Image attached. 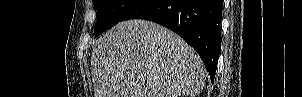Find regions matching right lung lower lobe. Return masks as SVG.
Instances as JSON below:
<instances>
[{
  "mask_svg": "<svg viewBox=\"0 0 302 97\" xmlns=\"http://www.w3.org/2000/svg\"><path fill=\"white\" fill-rule=\"evenodd\" d=\"M145 19L180 35L203 60L213 82L221 48L222 0H141L122 21Z\"/></svg>",
  "mask_w": 302,
  "mask_h": 97,
  "instance_id": "obj_1",
  "label": "right lung lower lobe"
}]
</instances>
